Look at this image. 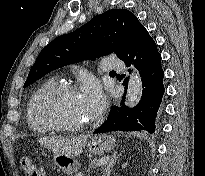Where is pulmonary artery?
Listing matches in <instances>:
<instances>
[{"instance_id": "1", "label": "pulmonary artery", "mask_w": 205, "mask_h": 176, "mask_svg": "<svg viewBox=\"0 0 205 176\" xmlns=\"http://www.w3.org/2000/svg\"><path fill=\"white\" fill-rule=\"evenodd\" d=\"M103 70L123 71L125 70V64L122 59L115 55H108L102 61Z\"/></svg>"}]
</instances>
